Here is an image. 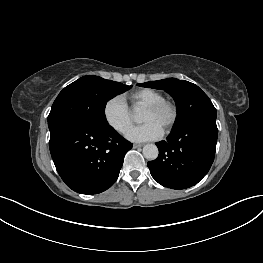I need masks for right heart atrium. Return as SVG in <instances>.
<instances>
[{"label":"right heart atrium","mask_w":263,"mask_h":263,"mask_svg":"<svg viewBox=\"0 0 263 263\" xmlns=\"http://www.w3.org/2000/svg\"><path fill=\"white\" fill-rule=\"evenodd\" d=\"M103 116L107 124L120 134L125 133L132 123L130 108L122 95L112 96L105 102Z\"/></svg>","instance_id":"d8ad5b80"}]
</instances>
